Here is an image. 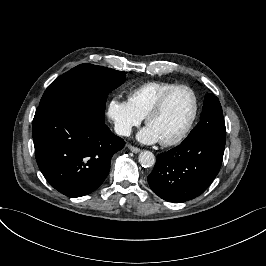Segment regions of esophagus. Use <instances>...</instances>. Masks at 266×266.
I'll list each match as a JSON object with an SVG mask.
<instances>
[{"instance_id":"esophagus-1","label":"esophagus","mask_w":266,"mask_h":266,"mask_svg":"<svg viewBox=\"0 0 266 266\" xmlns=\"http://www.w3.org/2000/svg\"><path fill=\"white\" fill-rule=\"evenodd\" d=\"M128 148L130 151H132L133 153H139L141 150L140 148H137L135 146H132V145H128Z\"/></svg>"}]
</instances>
